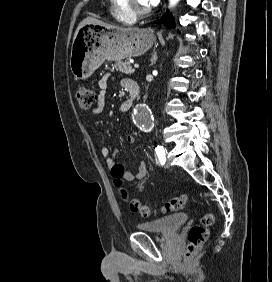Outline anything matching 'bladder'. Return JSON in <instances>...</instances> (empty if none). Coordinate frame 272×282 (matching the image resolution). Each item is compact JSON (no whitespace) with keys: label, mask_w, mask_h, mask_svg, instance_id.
Here are the masks:
<instances>
[{"label":"bladder","mask_w":272,"mask_h":282,"mask_svg":"<svg viewBox=\"0 0 272 282\" xmlns=\"http://www.w3.org/2000/svg\"><path fill=\"white\" fill-rule=\"evenodd\" d=\"M187 220V213H178L157 220L139 223L137 229L148 233L169 234L175 232Z\"/></svg>","instance_id":"1"}]
</instances>
